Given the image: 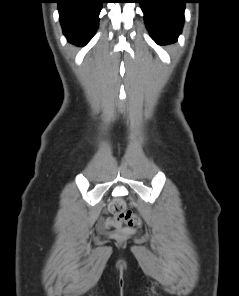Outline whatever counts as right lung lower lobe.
I'll return each mask as SVG.
<instances>
[{
    "mask_svg": "<svg viewBox=\"0 0 239 296\" xmlns=\"http://www.w3.org/2000/svg\"><path fill=\"white\" fill-rule=\"evenodd\" d=\"M60 22L68 40L87 44L98 28L104 0H57Z\"/></svg>",
    "mask_w": 239,
    "mask_h": 296,
    "instance_id": "98d812e1",
    "label": "right lung lower lobe"
}]
</instances>
